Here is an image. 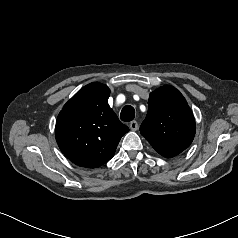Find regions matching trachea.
Returning a JSON list of instances; mask_svg holds the SVG:
<instances>
[{
	"label": "trachea",
	"instance_id": "trachea-1",
	"mask_svg": "<svg viewBox=\"0 0 238 238\" xmlns=\"http://www.w3.org/2000/svg\"><path fill=\"white\" fill-rule=\"evenodd\" d=\"M135 117V109L130 106V105H126L120 114V118L122 121L124 122H129L132 121Z\"/></svg>",
	"mask_w": 238,
	"mask_h": 238
}]
</instances>
